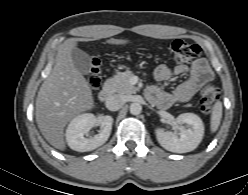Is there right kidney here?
Segmentation results:
<instances>
[{
    "label": "right kidney",
    "instance_id": "ca27d5eb",
    "mask_svg": "<svg viewBox=\"0 0 248 195\" xmlns=\"http://www.w3.org/2000/svg\"><path fill=\"white\" fill-rule=\"evenodd\" d=\"M113 124L111 116L96 117L91 113H84L74 117L66 129V141L68 146L79 152L92 151L103 145L109 138ZM99 126V133L93 137H87L89 130Z\"/></svg>",
    "mask_w": 248,
    "mask_h": 195
}]
</instances>
